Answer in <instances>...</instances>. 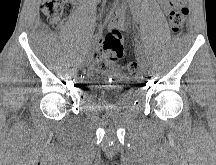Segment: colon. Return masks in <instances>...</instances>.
Here are the masks:
<instances>
[{
	"label": "colon",
	"mask_w": 216,
	"mask_h": 165,
	"mask_svg": "<svg viewBox=\"0 0 216 165\" xmlns=\"http://www.w3.org/2000/svg\"><path fill=\"white\" fill-rule=\"evenodd\" d=\"M74 0H41L42 13L45 19L55 28H62L66 19L73 11ZM183 0H172V10L169 13V24L173 33H179L188 17V8ZM124 54L123 37L120 30L114 28L108 32L103 41V49L94 54V62L98 69L105 70L110 66L120 68ZM130 74L138 72L137 63L127 65Z\"/></svg>",
	"instance_id": "1"
}]
</instances>
